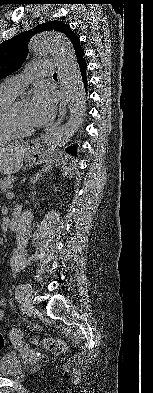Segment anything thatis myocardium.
Segmentation results:
<instances>
[{"label":"myocardium","mask_w":153,"mask_h":393,"mask_svg":"<svg viewBox=\"0 0 153 393\" xmlns=\"http://www.w3.org/2000/svg\"><path fill=\"white\" fill-rule=\"evenodd\" d=\"M19 102L20 101L13 102V104L10 107V111H9L10 126L17 137H27L30 134H32L34 130L32 128H24L21 126L16 115V107L19 104Z\"/></svg>","instance_id":"f54148a6"}]
</instances>
